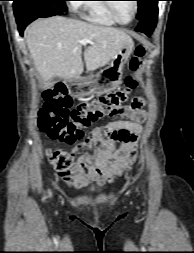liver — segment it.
Returning <instances> with one entry per match:
<instances>
[{"instance_id":"obj_1","label":"liver","mask_w":194,"mask_h":253,"mask_svg":"<svg viewBox=\"0 0 194 253\" xmlns=\"http://www.w3.org/2000/svg\"><path fill=\"white\" fill-rule=\"evenodd\" d=\"M25 37L44 82L53 77L72 79L83 73L82 39L93 42L83 53L88 71L108 64L125 45L133 47L132 38L120 29L62 16L34 21Z\"/></svg>"}]
</instances>
